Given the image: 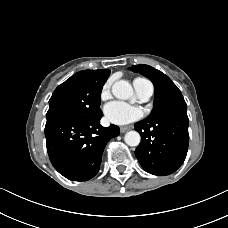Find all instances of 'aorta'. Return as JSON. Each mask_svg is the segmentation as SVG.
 I'll use <instances>...</instances> for the list:
<instances>
[{
  "mask_svg": "<svg viewBox=\"0 0 228 228\" xmlns=\"http://www.w3.org/2000/svg\"><path fill=\"white\" fill-rule=\"evenodd\" d=\"M112 94L118 99L127 100L133 96V88L128 81L119 80L112 85ZM124 140L128 146L135 147L139 145L141 137L137 131H129Z\"/></svg>",
  "mask_w": 228,
  "mask_h": 228,
  "instance_id": "762f6f07",
  "label": "aorta"
}]
</instances>
